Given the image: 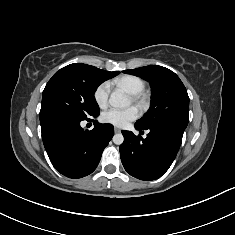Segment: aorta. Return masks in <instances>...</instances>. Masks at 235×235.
<instances>
[{
  "instance_id": "aorta-1",
  "label": "aorta",
  "mask_w": 235,
  "mask_h": 235,
  "mask_svg": "<svg viewBox=\"0 0 235 235\" xmlns=\"http://www.w3.org/2000/svg\"><path fill=\"white\" fill-rule=\"evenodd\" d=\"M109 102L114 107L125 108L130 105L131 100L121 89H116L111 93ZM112 140L114 144L121 145L124 137L121 133H118L113 136Z\"/></svg>"
}]
</instances>
